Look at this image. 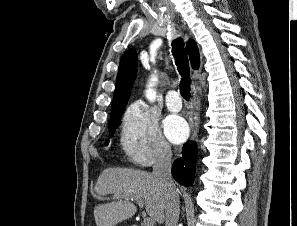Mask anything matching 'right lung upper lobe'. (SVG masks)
<instances>
[{
  "instance_id": "right-lung-upper-lobe-1",
  "label": "right lung upper lobe",
  "mask_w": 297,
  "mask_h": 226,
  "mask_svg": "<svg viewBox=\"0 0 297 226\" xmlns=\"http://www.w3.org/2000/svg\"><path fill=\"white\" fill-rule=\"evenodd\" d=\"M187 52L190 57L192 67H199V52L196 43L189 40L187 43ZM137 74V53L135 50H127L121 58L116 80V88L112 102V108L126 106L130 96L132 84Z\"/></svg>"
}]
</instances>
